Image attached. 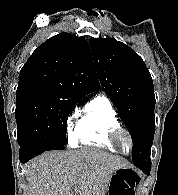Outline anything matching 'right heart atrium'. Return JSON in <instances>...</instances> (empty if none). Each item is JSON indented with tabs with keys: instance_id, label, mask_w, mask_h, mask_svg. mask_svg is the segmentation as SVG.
<instances>
[{
	"instance_id": "right-heart-atrium-1",
	"label": "right heart atrium",
	"mask_w": 178,
	"mask_h": 195,
	"mask_svg": "<svg viewBox=\"0 0 178 195\" xmlns=\"http://www.w3.org/2000/svg\"><path fill=\"white\" fill-rule=\"evenodd\" d=\"M78 125L79 119L75 109H72L67 116L68 139L71 146H74L78 140Z\"/></svg>"
}]
</instances>
